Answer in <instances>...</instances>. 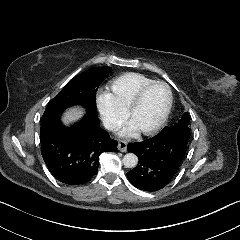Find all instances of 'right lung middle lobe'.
Masks as SVG:
<instances>
[{
    "instance_id": "right-lung-middle-lobe-1",
    "label": "right lung middle lobe",
    "mask_w": 240,
    "mask_h": 240,
    "mask_svg": "<svg viewBox=\"0 0 240 240\" xmlns=\"http://www.w3.org/2000/svg\"><path fill=\"white\" fill-rule=\"evenodd\" d=\"M110 73V67H93L72 78L48 104L41 125L59 119L63 111L73 105H82L86 114L96 115V91Z\"/></svg>"
}]
</instances>
